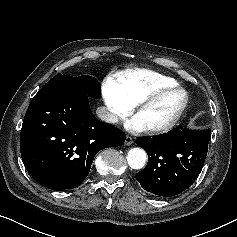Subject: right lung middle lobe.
<instances>
[{"instance_id": "obj_1", "label": "right lung middle lobe", "mask_w": 237, "mask_h": 237, "mask_svg": "<svg viewBox=\"0 0 237 237\" xmlns=\"http://www.w3.org/2000/svg\"><path fill=\"white\" fill-rule=\"evenodd\" d=\"M67 86L76 88L90 97H100V84L95 77L88 75L72 77L58 73L55 77L49 80L43 87H58Z\"/></svg>"}]
</instances>
